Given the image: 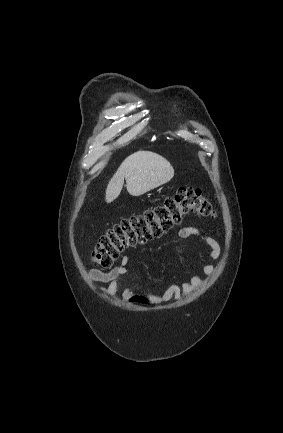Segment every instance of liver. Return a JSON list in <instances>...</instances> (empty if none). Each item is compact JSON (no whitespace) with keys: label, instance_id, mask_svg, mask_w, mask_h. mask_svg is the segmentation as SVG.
Here are the masks:
<instances>
[{"label":"liver","instance_id":"1","mask_svg":"<svg viewBox=\"0 0 283 433\" xmlns=\"http://www.w3.org/2000/svg\"><path fill=\"white\" fill-rule=\"evenodd\" d=\"M174 176V168L167 158L151 152V150H137L127 156L110 178L105 194L106 202H112L121 192L126 180L129 194L140 196L151 188L169 182Z\"/></svg>","mask_w":283,"mask_h":433}]
</instances>
